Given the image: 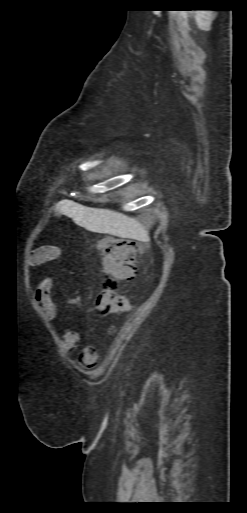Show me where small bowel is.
<instances>
[{
  "instance_id": "obj_1",
  "label": "small bowel",
  "mask_w": 247,
  "mask_h": 513,
  "mask_svg": "<svg viewBox=\"0 0 247 513\" xmlns=\"http://www.w3.org/2000/svg\"><path fill=\"white\" fill-rule=\"evenodd\" d=\"M57 249L53 246H46L40 249H37L35 252L32 253L28 260V266L29 269L32 270L34 267L41 265L45 262L50 261ZM54 286V282L51 278L47 277L41 280V282L38 284V286L35 289L34 298L41 310V313L44 317V319L48 322H52L56 316H57V309L52 299V289ZM98 301V299L96 300ZM95 301V302H96ZM94 302V303H95ZM93 303V305H94ZM73 304L79 306L80 308L88 311L93 310L92 306H87L83 304L79 300H74ZM80 341L79 334L74 330H67L63 334L61 338V347L62 350L65 353H70L74 351ZM97 358V352L94 347H87L85 348L83 355H82V361L83 365L85 367H89L93 364L95 359Z\"/></svg>"
}]
</instances>
